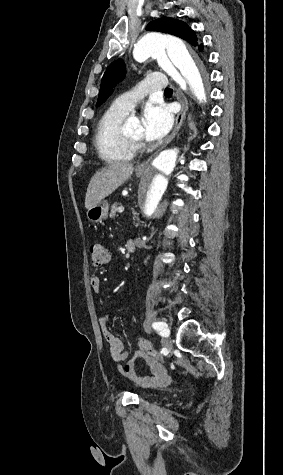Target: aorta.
I'll return each instance as SVG.
<instances>
[{"instance_id": "obj_1", "label": "aorta", "mask_w": 283, "mask_h": 475, "mask_svg": "<svg viewBox=\"0 0 283 475\" xmlns=\"http://www.w3.org/2000/svg\"><path fill=\"white\" fill-rule=\"evenodd\" d=\"M133 56L138 62L157 59L158 64L183 90L188 85L199 102H206V73L191 57L182 40L170 35L148 33L134 46ZM137 125L138 121L129 119L125 127L132 129ZM191 149L188 143L164 150L145 170L136 192V216L140 221L147 222L159 214L163 199Z\"/></svg>"}]
</instances>
